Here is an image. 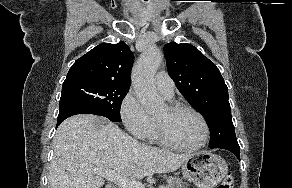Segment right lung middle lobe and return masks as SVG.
Returning a JSON list of instances; mask_svg holds the SVG:
<instances>
[{
  "instance_id": "right-lung-middle-lobe-1",
  "label": "right lung middle lobe",
  "mask_w": 292,
  "mask_h": 188,
  "mask_svg": "<svg viewBox=\"0 0 292 188\" xmlns=\"http://www.w3.org/2000/svg\"><path fill=\"white\" fill-rule=\"evenodd\" d=\"M129 91L127 86L91 80L64 81L60 109L80 107L120 123V106Z\"/></svg>"
}]
</instances>
